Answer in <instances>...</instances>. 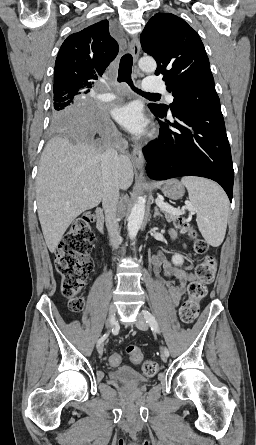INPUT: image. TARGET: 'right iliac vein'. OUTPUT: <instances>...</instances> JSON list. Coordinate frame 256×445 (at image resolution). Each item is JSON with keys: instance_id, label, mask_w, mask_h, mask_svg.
<instances>
[{"instance_id": "obj_1", "label": "right iliac vein", "mask_w": 256, "mask_h": 445, "mask_svg": "<svg viewBox=\"0 0 256 445\" xmlns=\"http://www.w3.org/2000/svg\"><path fill=\"white\" fill-rule=\"evenodd\" d=\"M116 314V307L114 304H111L108 310V321H107V328L109 329L115 319ZM98 353L99 355H102L103 353V342L98 346Z\"/></svg>"}]
</instances>
